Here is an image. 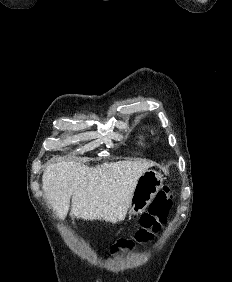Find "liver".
Returning a JSON list of instances; mask_svg holds the SVG:
<instances>
[{
  "label": "liver",
  "mask_w": 232,
  "mask_h": 282,
  "mask_svg": "<svg viewBox=\"0 0 232 282\" xmlns=\"http://www.w3.org/2000/svg\"><path fill=\"white\" fill-rule=\"evenodd\" d=\"M153 165L144 160L105 162L95 167L73 161L48 163L42 189L60 220L67 216L72 198V219L116 224L127 215L139 177Z\"/></svg>",
  "instance_id": "1"
}]
</instances>
